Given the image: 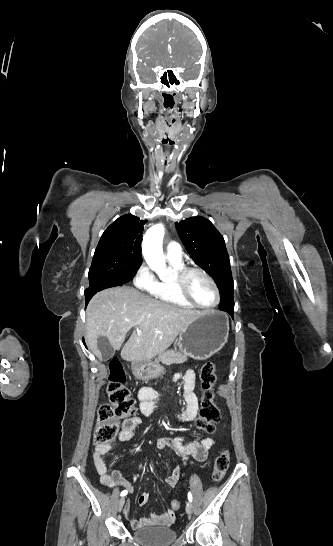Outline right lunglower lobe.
<instances>
[{"instance_id": "right-lung-lower-lobe-1", "label": "right lung lower lobe", "mask_w": 333, "mask_h": 546, "mask_svg": "<svg viewBox=\"0 0 333 546\" xmlns=\"http://www.w3.org/2000/svg\"><path fill=\"white\" fill-rule=\"evenodd\" d=\"M114 286H118V285H115V284L110 283V282H103V281L96 282V283L90 285L89 288H87L85 290L86 305L88 304L89 300L92 298V296L95 293H97L100 290L110 288V287H114Z\"/></svg>"}]
</instances>
